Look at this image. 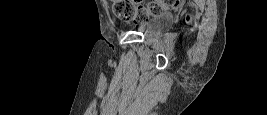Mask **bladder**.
<instances>
[{"label":"bladder","instance_id":"bladder-1","mask_svg":"<svg viewBox=\"0 0 267 115\" xmlns=\"http://www.w3.org/2000/svg\"><path fill=\"white\" fill-rule=\"evenodd\" d=\"M173 25V16L161 13L151 17L137 27V31L145 35H155L169 29Z\"/></svg>","mask_w":267,"mask_h":115}]
</instances>
